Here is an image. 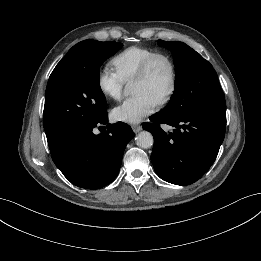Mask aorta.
Returning <instances> with one entry per match:
<instances>
[{"instance_id":"aorta-1","label":"aorta","mask_w":261,"mask_h":261,"mask_svg":"<svg viewBox=\"0 0 261 261\" xmlns=\"http://www.w3.org/2000/svg\"><path fill=\"white\" fill-rule=\"evenodd\" d=\"M125 93H128V89H125ZM136 145L140 148H150L153 145L154 139L150 132L141 131L135 138Z\"/></svg>"}]
</instances>
